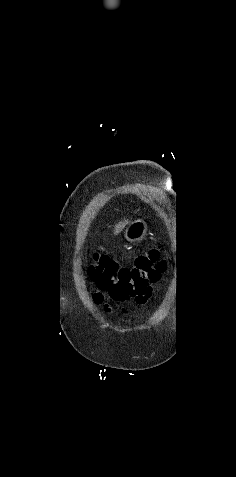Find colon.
<instances>
[{"instance_id":"obj_1","label":"colon","mask_w":236,"mask_h":477,"mask_svg":"<svg viewBox=\"0 0 236 477\" xmlns=\"http://www.w3.org/2000/svg\"><path fill=\"white\" fill-rule=\"evenodd\" d=\"M94 260L95 264L89 268L92 280L100 291L108 292L116 302L130 299L144 302L150 294V285L166 268L156 249L140 256L132 267L120 266L104 256L96 255ZM96 299L100 301L102 295L97 293Z\"/></svg>"}]
</instances>
